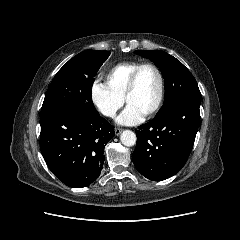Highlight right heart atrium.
I'll return each instance as SVG.
<instances>
[{"mask_svg":"<svg viewBox=\"0 0 240 240\" xmlns=\"http://www.w3.org/2000/svg\"><path fill=\"white\" fill-rule=\"evenodd\" d=\"M93 106L104 116L112 118L123 106L124 99L114 92L106 82L94 80L90 86Z\"/></svg>","mask_w":240,"mask_h":240,"instance_id":"1","label":"right heart atrium"}]
</instances>
